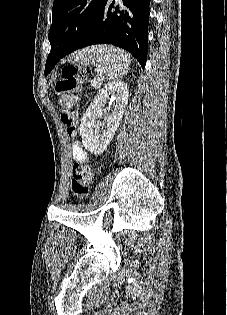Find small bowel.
<instances>
[{
	"label": "small bowel",
	"instance_id": "1",
	"mask_svg": "<svg viewBox=\"0 0 227 315\" xmlns=\"http://www.w3.org/2000/svg\"><path fill=\"white\" fill-rule=\"evenodd\" d=\"M71 154H72V158L76 162L81 163V162H84L86 159V152L84 151V149L80 146L78 142H74L72 144Z\"/></svg>",
	"mask_w": 227,
	"mask_h": 315
}]
</instances>
